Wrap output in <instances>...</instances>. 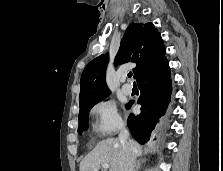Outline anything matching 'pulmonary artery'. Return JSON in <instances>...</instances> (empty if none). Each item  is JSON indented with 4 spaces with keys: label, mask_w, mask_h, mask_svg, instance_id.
Instances as JSON below:
<instances>
[{
    "label": "pulmonary artery",
    "mask_w": 223,
    "mask_h": 171,
    "mask_svg": "<svg viewBox=\"0 0 223 171\" xmlns=\"http://www.w3.org/2000/svg\"><path fill=\"white\" fill-rule=\"evenodd\" d=\"M123 94L125 95H130L132 93V86L129 85L128 83H124L122 88H121Z\"/></svg>",
    "instance_id": "pulmonary-artery-1"
}]
</instances>
